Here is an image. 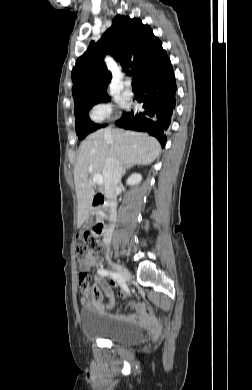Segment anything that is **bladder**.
I'll list each match as a JSON object with an SVG mask.
<instances>
[{"label": "bladder", "instance_id": "bladder-1", "mask_svg": "<svg viewBox=\"0 0 252 390\" xmlns=\"http://www.w3.org/2000/svg\"><path fill=\"white\" fill-rule=\"evenodd\" d=\"M81 327L88 338L106 339L121 346H133L144 338V329L136 324L104 316L81 314Z\"/></svg>", "mask_w": 252, "mask_h": 390}]
</instances>
